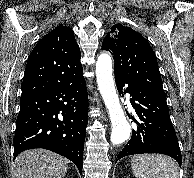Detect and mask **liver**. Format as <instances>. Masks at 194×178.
I'll return each mask as SVG.
<instances>
[{
    "mask_svg": "<svg viewBox=\"0 0 194 178\" xmlns=\"http://www.w3.org/2000/svg\"><path fill=\"white\" fill-rule=\"evenodd\" d=\"M68 163L66 158L48 150H27L15 159L13 178H64Z\"/></svg>",
    "mask_w": 194,
    "mask_h": 178,
    "instance_id": "6515ba94",
    "label": "liver"
}]
</instances>
